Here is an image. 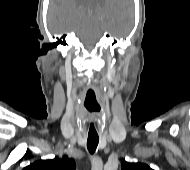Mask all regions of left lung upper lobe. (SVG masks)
Wrapping results in <instances>:
<instances>
[{
  "label": "left lung upper lobe",
  "mask_w": 190,
  "mask_h": 170,
  "mask_svg": "<svg viewBox=\"0 0 190 170\" xmlns=\"http://www.w3.org/2000/svg\"><path fill=\"white\" fill-rule=\"evenodd\" d=\"M122 170H152L148 165L143 163H128L123 161Z\"/></svg>",
  "instance_id": "5c2ea615"
}]
</instances>
